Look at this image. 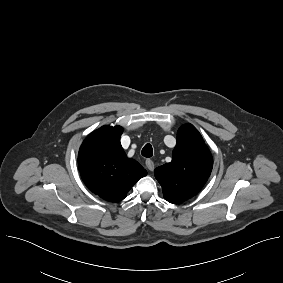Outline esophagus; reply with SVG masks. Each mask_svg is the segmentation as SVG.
<instances>
[{
	"mask_svg": "<svg viewBox=\"0 0 283 283\" xmlns=\"http://www.w3.org/2000/svg\"><path fill=\"white\" fill-rule=\"evenodd\" d=\"M145 164L149 171H152L154 169V162L151 159H147L145 161Z\"/></svg>",
	"mask_w": 283,
	"mask_h": 283,
	"instance_id": "obj_1",
	"label": "esophagus"
}]
</instances>
